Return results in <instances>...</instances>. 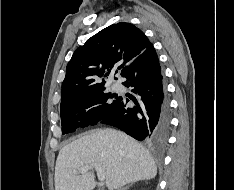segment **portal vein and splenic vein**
Here are the masks:
<instances>
[{"mask_svg": "<svg viewBox=\"0 0 234 190\" xmlns=\"http://www.w3.org/2000/svg\"><path fill=\"white\" fill-rule=\"evenodd\" d=\"M91 168H95V170L97 171V176L99 181L103 182L105 180V173L103 172V170L97 165V164H92V165H86L82 168H80L78 171H75L74 173H86L87 171H89Z\"/></svg>", "mask_w": 234, "mask_h": 190, "instance_id": "obj_1", "label": "portal vein and splenic vein"}]
</instances>
